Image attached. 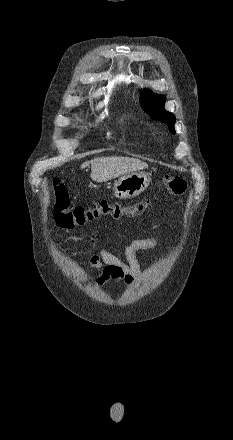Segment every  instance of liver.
Masks as SVG:
<instances>
[{
    "mask_svg": "<svg viewBox=\"0 0 233 440\" xmlns=\"http://www.w3.org/2000/svg\"><path fill=\"white\" fill-rule=\"evenodd\" d=\"M91 164L90 177L95 182H106L116 177L148 168V164L129 157H97L86 161L81 168Z\"/></svg>",
    "mask_w": 233,
    "mask_h": 440,
    "instance_id": "liver-1",
    "label": "liver"
}]
</instances>
